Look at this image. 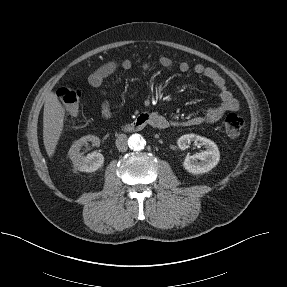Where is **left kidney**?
I'll list each match as a JSON object with an SVG mask.
<instances>
[{
	"label": "left kidney",
	"mask_w": 287,
	"mask_h": 287,
	"mask_svg": "<svg viewBox=\"0 0 287 287\" xmlns=\"http://www.w3.org/2000/svg\"><path fill=\"white\" fill-rule=\"evenodd\" d=\"M191 142H194L195 145L204 146L206 150L193 156L187 155L183 163L185 170L193 175L211 171L220 160V152L217 145L210 139L195 134L181 136L177 144L181 150H185ZM198 160L200 161L198 162Z\"/></svg>",
	"instance_id": "obj_1"
}]
</instances>
